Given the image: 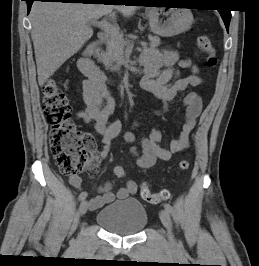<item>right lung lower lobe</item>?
<instances>
[{
    "mask_svg": "<svg viewBox=\"0 0 259 266\" xmlns=\"http://www.w3.org/2000/svg\"><path fill=\"white\" fill-rule=\"evenodd\" d=\"M27 1V9H28V13L30 12L31 9V5L34 1H42V2H62V3H68V2H72V3H84V4H105V3H120V2H116L119 0H24Z\"/></svg>",
    "mask_w": 259,
    "mask_h": 266,
    "instance_id": "98d812e1",
    "label": "right lung lower lobe"
}]
</instances>
